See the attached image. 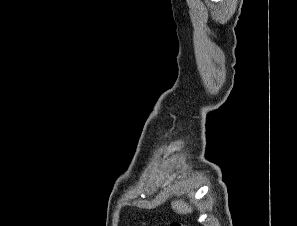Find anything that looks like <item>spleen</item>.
I'll return each mask as SVG.
<instances>
[{"label":"spleen","mask_w":297,"mask_h":226,"mask_svg":"<svg viewBox=\"0 0 297 226\" xmlns=\"http://www.w3.org/2000/svg\"><path fill=\"white\" fill-rule=\"evenodd\" d=\"M172 209L178 214L192 213L193 209L183 200H176L171 202Z\"/></svg>","instance_id":"obj_1"}]
</instances>
